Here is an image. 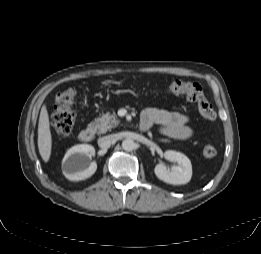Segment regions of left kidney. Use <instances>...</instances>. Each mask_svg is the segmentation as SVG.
I'll return each mask as SVG.
<instances>
[{
    "label": "left kidney",
    "mask_w": 261,
    "mask_h": 254,
    "mask_svg": "<svg viewBox=\"0 0 261 254\" xmlns=\"http://www.w3.org/2000/svg\"><path fill=\"white\" fill-rule=\"evenodd\" d=\"M164 157L171 162L177 163V165L172 166L169 170L164 164H157L154 168L157 178L173 185L186 184L191 180L192 165L186 155L168 150L164 153Z\"/></svg>",
    "instance_id": "left-kidney-1"
}]
</instances>
